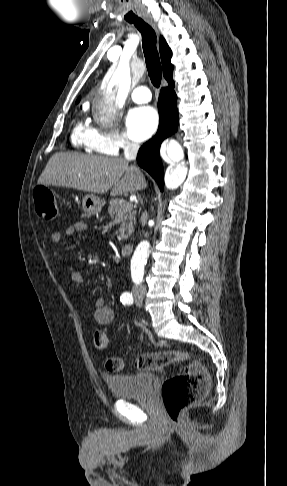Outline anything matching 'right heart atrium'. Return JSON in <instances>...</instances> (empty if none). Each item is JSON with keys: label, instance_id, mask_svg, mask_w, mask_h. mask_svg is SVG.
<instances>
[{"label": "right heart atrium", "instance_id": "1", "mask_svg": "<svg viewBox=\"0 0 287 486\" xmlns=\"http://www.w3.org/2000/svg\"><path fill=\"white\" fill-rule=\"evenodd\" d=\"M93 148L96 152L99 153L116 155L121 150L129 151L135 149L136 144L132 142L129 137L122 131H97V135L93 143Z\"/></svg>", "mask_w": 287, "mask_h": 486}]
</instances>
